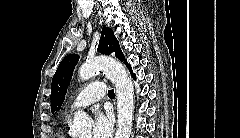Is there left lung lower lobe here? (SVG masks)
I'll return each instance as SVG.
<instances>
[{"label":"left lung lower lobe","instance_id":"obj_1","mask_svg":"<svg viewBox=\"0 0 240 138\" xmlns=\"http://www.w3.org/2000/svg\"><path fill=\"white\" fill-rule=\"evenodd\" d=\"M126 65H127V67L129 68V70H130V72H131V74H132V77H133L134 79H136L135 74L132 72L131 66H130L128 63H127Z\"/></svg>","mask_w":240,"mask_h":138}]
</instances>
